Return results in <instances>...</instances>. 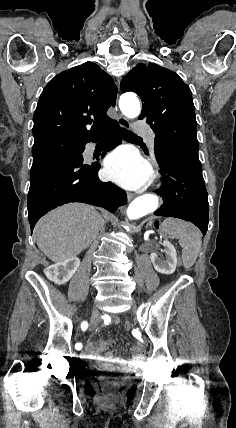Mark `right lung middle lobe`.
I'll use <instances>...</instances> for the list:
<instances>
[{"label":"right lung middle lobe","mask_w":236,"mask_h":428,"mask_svg":"<svg viewBox=\"0 0 236 428\" xmlns=\"http://www.w3.org/2000/svg\"><path fill=\"white\" fill-rule=\"evenodd\" d=\"M80 141L73 139H58L34 144L32 149L33 164L56 156L81 157L79 154Z\"/></svg>","instance_id":"1"}]
</instances>
